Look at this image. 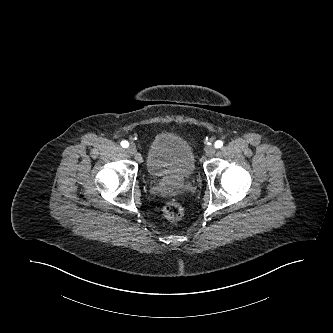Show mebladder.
<instances>
[{
  "label": "bladder",
  "instance_id": "1",
  "mask_svg": "<svg viewBox=\"0 0 333 333\" xmlns=\"http://www.w3.org/2000/svg\"><path fill=\"white\" fill-rule=\"evenodd\" d=\"M146 170L154 181H183L195 171V157L189 143L172 132H161L149 143Z\"/></svg>",
  "mask_w": 333,
  "mask_h": 333
}]
</instances>
